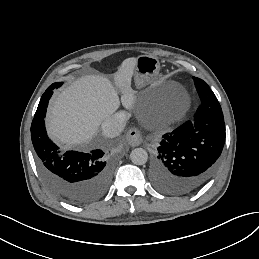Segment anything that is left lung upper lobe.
Instances as JSON below:
<instances>
[{
    "instance_id": "left-lung-upper-lobe-1",
    "label": "left lung upper lobe",
    "mask_w": 259,
    "mask_h": 259,
    "mask_svg": "<svg viewBox=\"0 0 259 259\" xmlns=\"http://www.w3.org/2000/svg\"><path fill=\"white\" fill-rule=\"evenodd\" d=\"M197 91H209L210 88L205 81L200 78L193 77Z\"/></svg>"
}]
</instances>
